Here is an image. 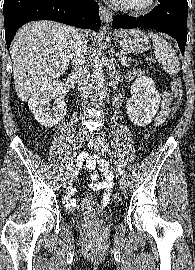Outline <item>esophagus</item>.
Instances as JSON below:
<instances>
[{"label": "esophagus", "instance_id": "1", "mask_svg": "<svg viewBox=\"0 0 195 270\" xmlns=\"http://www.w3.org/2000/svg\"><path fill=\"white\" fill-rule=\"evenodd\" d=\"M100 18L103 22H109L112 19V14L103 5H99Z\"/></svg>", "mask_w": 195, "mask_h": 270}]
</instances>
